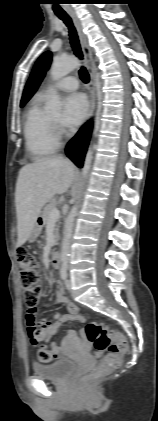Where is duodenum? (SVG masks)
Returning <instances> with one entry per match:
<instances>
[{"label":"duodenum","instance_id":"1","mask_svg":"<svg viewBox=\"0 0 158 421\" xmlns=\"http://www.w3.org/2000/svg\"><path fill=\"white\" fill-rule=\"evenodd\" d=\"M61 262V253L59 251L53 252L51 256V263L54 267H58Z\"/></svg>","mask_w":158,"mask_h":421}]
</instances>
